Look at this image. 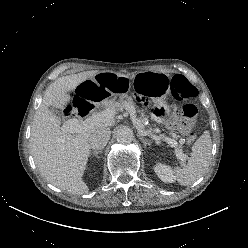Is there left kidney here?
I'll return each instance as SVG.
<instances>
[{
  "mask_svg": "<svg viewBox=\"0 0 248 248\" xmlns=\"http://www.w3.org/2000/svg\"><path fill=\"white\" fill-rule=\"evenodd\" d=\"M154 171L163 182L165 183L175 182V175L169 166L158 163L154 167Z\"/></svg>",
  "mask_w": 248,
  "mask_h": 248,
  "instance_id": "5707ae66",
  "label": "left kidney"
}]
</instances>
